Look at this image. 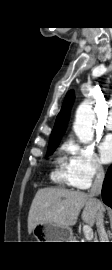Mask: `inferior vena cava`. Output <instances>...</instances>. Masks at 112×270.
Segmentation results:
<instances>
[{
    "label": "inferior vena cava",
    "mask_w": 112,
    "mask_h": 270,
    "mask_svg": "<svg viewBox=\"0 0 112 270\" xmlns=\"http://www.w3.org/2000/svg\"><path fill=\"white\" fill-rule=\"evenodd\" d=\"M104 180V171L101 165L96 166V177L90 189L89 195L95 197L101 194L102 184ZM98 205V213L96 215V227L100 242H108V237L103 223V205L101 201L96 200Z\"/></svg>",
    "instance_id": "obj_1"
}]
</instances>
